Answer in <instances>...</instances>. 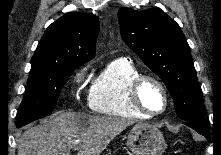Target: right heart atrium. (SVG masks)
<instances>
[{
    "label": "right heart atrium",
    "instance_id": "obj_1",
    "mask_svg": "<svg viewBox=\"0 0 221 155\" xmlns=\"http://www.w3.org/2000/svg\"><path fill=\"white\" fill-rule=\"evenodd\" d=\"M86 72H87V67H84V68L80 69V70L75 74V76H74V78H73V82H74V83L80 82V81L84 78Z\"/></svg>",
    "mask_w": 221,
    "mask_h": 155
}]
</instances>
